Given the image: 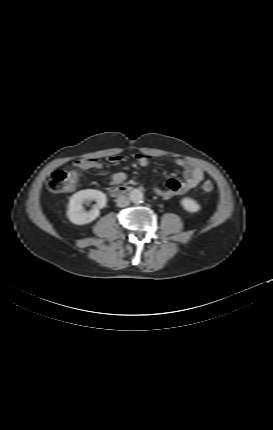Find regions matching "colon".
<instances>
[{
	"mask_svg": "<svg viewBox=\"0 0 273 430\" xmlns=\"http://www.w3.org/2000/svg\"><path fill=\"white\" fill-rule=\"evenodd\" d=\"M83 168L74 166L72 170H57L54 171L47 182V188L54 194L68 193L76 188L79 180V171ZM201 189L205 193H209L214 189V185L210 180H206Z\"/></svg>",
	"mask_w": 273,
	"mask_h": 430,
	"instance_id": "obj_1",
	"label": "colon"
}]
</instances>
